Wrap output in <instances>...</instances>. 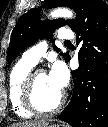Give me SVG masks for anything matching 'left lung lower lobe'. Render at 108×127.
Listing matches in <instances>:
<instances>
[{
	"mask_svg": "<svg viewBox=\"0 0 108 127\" xmlns=\"http://www.w3.org/2000/svg\"><path fill=\"white\" fill-rule=\"evenodd\" d=\"M79 50V68L71 71L73 95L57 116L72 127H108V6L103 0H84L72 29Z\"/></svg>",
	"mask_w": 108,
	"mask_h": 127,
	"instance_id": "obj_1",
	"label": "left lung lower lobe"
}]
</instances>
